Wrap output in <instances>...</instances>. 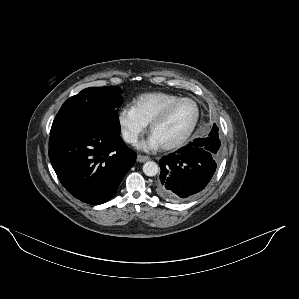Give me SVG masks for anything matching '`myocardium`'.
<instances>
[{
    "mask_svg": "<svg viewBox=\"0 0 299 299\" xmlns=\"http://www.w3.org/2000/svg\"><path fill=\"white\" fill-rule=\"evenodd\" d=\"M184 101H190L195 105L196 108V115L194 118V121L192 123V125L190 126V128L187 130V132L185 134H183L180 138H178L177 140L165 144V145H161V149L163 150H173L176 148H179L180 146H182L193 134V132L195 131L200 117H201V108L200 105L198 104V102L190 97H180L179 99L169 103L168 105H166L160 112L159 114L154 117V119L150 122V126H149V131L150 134H152L153 130L159 125L161 124L170 114V112L176 107L178 106L180 103L184 102Z\"/></svg>",
    "mask_w": 299,
    "mask_h": 299,
    "instance_id": "obj_1",
    "label": "myocardium"
}]
</instances>
